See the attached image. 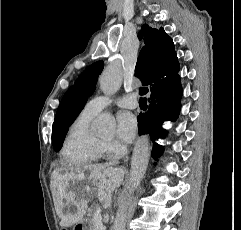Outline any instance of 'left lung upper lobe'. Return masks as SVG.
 I'll use <instances>...</instances> for the list:
<instances>
[{
    "label": "left lung upper lobe",
    "mask_w": 241,
    "mask_h": 230,
    "mask_svg": "<svg viewBox=\"0 0 241 230\" xmlns=\"http://www.w3.org/2000/svg\"><path fill=\"white\" fill-rule=\"evenodd\" d=\"M103 67L104 63L98 61L86 68L62 98L52 128V145L56 152L62 148L67 131L83 109L87 97L94 92Z\"/></svg>",
    "instance_id": "1"
}]
</instances>
